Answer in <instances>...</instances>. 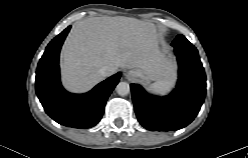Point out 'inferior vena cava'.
Segmentation results:
<instances>
[{
  "mask_svg": "<svg viewBox=\"0 0 248 158\" xmlns=\"http://www.w3.org/2000/svg\"><path fill=\"white\" fill-rule=\"evenodd\" d=\"M99 74L102 77H107L110 75V68L108 66H103L102 68L99 69Z\"/></svg>",
  "mask_w": 248,
  "mask_h": 158,
  "instance_id": "602c4592",
  "label": "inferior vena cava"
}]
</instances>
